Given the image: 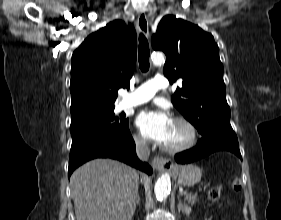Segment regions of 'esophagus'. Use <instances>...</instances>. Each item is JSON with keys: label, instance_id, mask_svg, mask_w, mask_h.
<instances>
[{"label": "esophagus", "instance_id": "1", "mask_svg": "<svg viewBox=\"0 0 281 220\" xmlns=\"http://www.w3.org/2000/svg\"><path fill=\"white\" fill-rule=\"evenodd\" d=\"M137 27L146 37L149 36L148 20L144 13L139 14L137 19ZM152 165L158 171H169L174 167V163L171 159L162 158L159 156L153 158Z\"/></svg>", "mask_w": 281, "mask_h": 220}]
</instances>
